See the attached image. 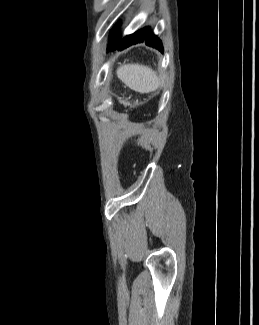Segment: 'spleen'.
Here are the masks:
<instances>
[{
    "label": "spleen",
    "instance_id": "1",
    "mask_svg": "<svg viewBox=\"0 0 259 325\" xmlns=\"http://www.w3.org/2000/svg\"><path fill=\"white\" fill-rule=\"evenodd\" d=\"M116 74L127 87L139 93H149L159 87L156 72L145 65L125 64L118 67Z\"/></svg>",
    "mask_w": 259,
    "mask_h": 325
}]
</instances>
